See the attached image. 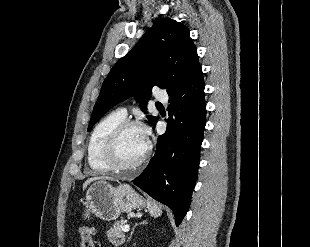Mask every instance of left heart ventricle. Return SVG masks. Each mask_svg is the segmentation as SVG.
<instances>
[{"label":"left heart ventricle","instance_id":"b2bd125f","mask_svg":"<svg viewBox=\"0 0 310 247\" xmlns=\"http://www.w3.org/2000/svg\"><path fill=\"white\" fill-rule=\"evenodd\" d=\"M147 146V136L139 128H129L121 135L117 145L118 161L130 165L138 161Z\"/></svg>","mask_w":310,"mask_h":247}]
</instances>
